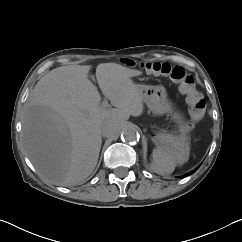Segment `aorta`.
Returning <instances> with one entry per match:
<instances>
[{"mask_svg":"<svg viewBox=\"0 0 242 242\" xmlns=\"http://www.w3.org/2000/svg\"><path fill=\"white\" fill-rule=\"evenodd\" d=\"M122 138L126 142L134 143L139 140L140 135L138 133V130L134 126H128L123 130Z\"/></svg>","mask_w":242,"mask_h":242,"instance_id":"aorta-1","label":"aorta"}]
</instances>
